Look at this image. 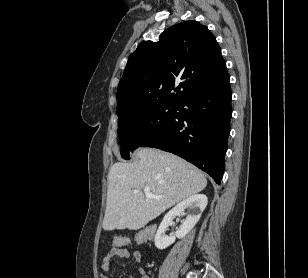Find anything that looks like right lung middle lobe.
<instances>
[{
    "label": "right lung middle lobe",
    "mask_w": 308,
    "mask_h": 278,
    "mask_svg": "<svg viewBox=\"0 0 308 278\" xmlns=\"http://www.w3.org/2000/svg\"><path fill=\"white\" fill-rule=\"evenodd\" d=\"M178 104L160 103L134 111L119 121L118 135L121 156L130 158V152L145 140L166 127L176 116Z\"/></svg>",
    "instance_id": "1"
}]
</instances>
